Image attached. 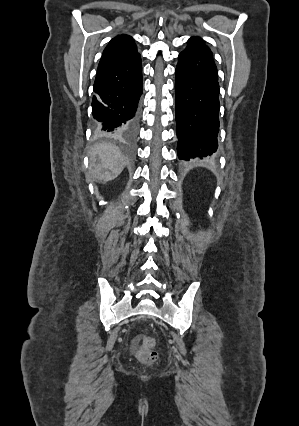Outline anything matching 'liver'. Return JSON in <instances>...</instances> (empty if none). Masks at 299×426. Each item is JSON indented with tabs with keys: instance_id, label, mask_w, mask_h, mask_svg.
<instances>
[{
	"instance_id": "6515ba94",
	"label": "liver",
	"mask_w": 299,
	"mask_h": 426,
	"mask_svg": "<svg viewBox=\"0 0 299 426\" xmlns=\"http://www.w3.org/2000/svg\"><path fill=\"white\" fill-rule=\"evenodd\" d=\"M124 167V156L116 145L102 142L92 148L90 153V178L92 180L111 181L123 171Z\"/></svg>"
}]
</instances>
